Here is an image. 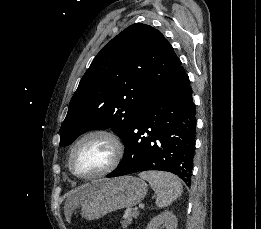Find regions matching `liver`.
<instances>
[{
	"instance_id": "6515ba94",
	"label": "liver",
	"mask_w": 261,
	"mask_h": 229,
	"mask_svg": "<svg viewBox=\"0 0 261 229\" xmlns=\"http://www.w3.org/2000/svg\"><path fill=\"white\" fill-rule=\"evenodd\" d=\"M90 191L83 185V187H79V189H75V191H71V197L69 199L70 205H72V211L78 207V203L81 201H85L87 197H89Z\"/></svg>"
}]
</instances>
